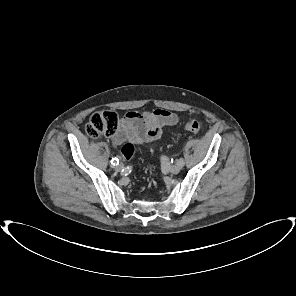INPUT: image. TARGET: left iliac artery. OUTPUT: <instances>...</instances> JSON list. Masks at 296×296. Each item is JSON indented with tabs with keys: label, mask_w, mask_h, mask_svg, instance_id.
<instances>
[{
	"label": "left iliac artery",
	"mask_w": 296,
	"mask_h": 296,
	"mask_svg": "<svg viewBox=\"0 0 296 296\" xmlns=\"http://www.w3.org/2000/svg\"><path fill=\"white\" fill-rule=\"evenodd\" d=\"M178 164H180L181 166H184V160L183 158H180L178 161H177Z\"/></svg>",
	"instance_id": "1"
}]
</instances>
